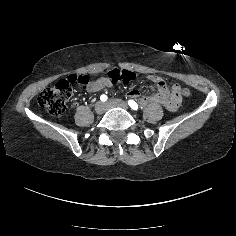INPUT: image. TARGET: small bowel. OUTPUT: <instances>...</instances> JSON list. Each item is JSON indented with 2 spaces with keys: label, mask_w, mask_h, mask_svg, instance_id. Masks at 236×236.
Masks as SVG:
<instances>
[{
  "label": "small bowel",
  "mask_w": 236,
  "mask_h": 236,
  "mask_svg": "<svg viewBox=\"0 0 236 236\" xmlns=\"http://www.w3.org/2000/svg\"><path fill=\"white\" fill-rule=\"evenodd\" d=\"M150 80L152 82H154L155 84H157L158 86L160 87H165V81L158 77V76H150L149 77ZM110 85V82L104 78H100L97 80V82H95L94 84H92L90 87H89V91L91 92H97L105 87H108ZM138 91L137 90H132L130 91L129 95L132 96V97H137L138 96Z\"/></svg>",
  "instance_id": "c3829d8e"
}]
</instances>
